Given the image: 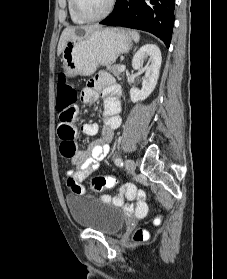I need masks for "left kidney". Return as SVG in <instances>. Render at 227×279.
Instances as JSON below:
<instances>
[{"mask_svg":"<svg viewBox=\"0 0 227 279\" xmlns=\"http://www.w3.org/2000/svg\"><path fill=\"white\" fill-rule=\"evenodd\" d=\"M149 58L150 65L145 67V76L142 81V89L131 88L130 99L133 103L145 100L155 89L159 78L162 57L159 47L155 44L142 46L133 56L132 67L137 70L142 67L144 59Z\"/></svg>","mask_w":227,"mask_h":279,"instance_id":"obj_1","label":"left kidney"}]
</instances>
